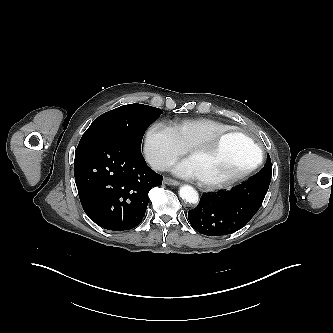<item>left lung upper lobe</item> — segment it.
<instances>
[{"label": "left lung upper lobe", "instance_id": "left-lung-upper-lobe-1", "mask_svg": "<svg viewBox=\"0 0 333 333\" xmlns=\"http://www.w3.org/2000/svg\"><path fill=\"white\" fill-rule=\"evenodd\" d=\"M272 175V164H271V160H270V156L267 155V162L265 164V166L254 176H252L250 179L253 178H258L261 176H270Z\"/></svg>", "mask_w": 333, "mask_h": 333}]
</instances>
